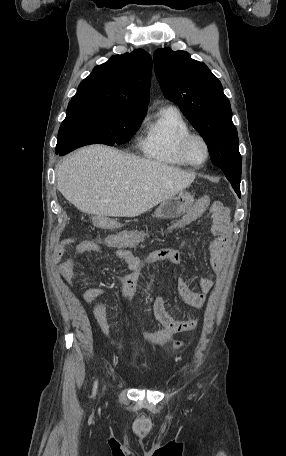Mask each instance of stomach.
I'll list each match as a JSON object with an SVG mask.
<instances>
[{
	"instance_id": "1",
	"label": "stomach",
	"mask_w": 286,
	"mask_h": 456,
	"mask_svg": "<svg viewBox=\"0 0 286 456\" xmlns=\"http://www.w3.org/2000/svg\"><path fill=\"white\" fill-rule=\"evenodd\" d=\"M193 202L194 197L190 193L181 191L164 200L154 215L163 219L180 217L192 206Z\"/></svg>"
}]
</instances>
